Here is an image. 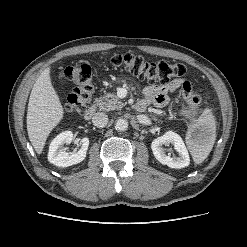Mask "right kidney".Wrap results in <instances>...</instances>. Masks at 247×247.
I'll use <instances>...</instances> for the list:
<instances>
[{
  "mask_svg": "<svg viewBox=\"0 0 247 247\" xmlns=\"http://www.w3.org/2000/svg\"><path fill=\"white\" fill-rule=\"evenodd\" d=\"M73 140V133L65 131L57 135L49 146L48 161L59 167H68L82 162L89 146V139L84 137L81 139V148L77 153L69 154L62 148L63 144H70Z\"/></svg>",
  "mask_w": 247,
  "mask_h": 247,
  "instance_id": "ca27d5eb",
  "label": "right kidney"
}]
</instances>
